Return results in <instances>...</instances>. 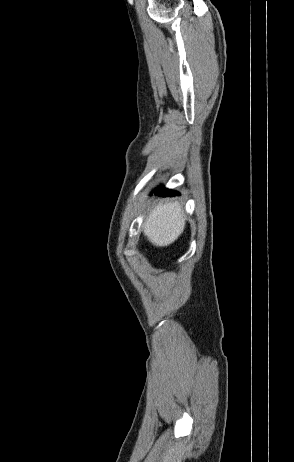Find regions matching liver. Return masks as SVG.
<instances>
[{
  "instance_id": "liver-1",
  "label": "liver",
  "mask_w": 294,
  "mask_h": 462,
  "mask_svg": "<svg viewBox=\"0 0 294 462\" xmlns=\"http://www.w3.org/2000/svg\"><path fill=\"white\" fill-rule=\"evenodd\" d=\"M185 220L178 202L157 204L144 222L143 233L153 245L168 246L183 233Z\"/></svg>"
}]
</instances>
